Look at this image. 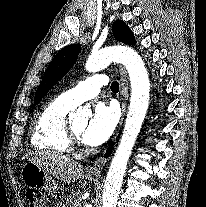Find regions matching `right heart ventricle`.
<instances>
[{
  "instance_id": "e07e8e85",
  "label": "right heart ventricle",
  "mask_w": 206,
  "mask_h": 207,
  "mask_svg": "<svg viewBox=\"0 0 206 207\" xmlns=\"http://www.w3.org/2000/svg\"><path fill=\"white\" fill-rule=\"evenodd\" d=\"M75 107L62 94L47 103L35 119L31 145L35 149L55 153L71 152L66 135V117Z\"/></svg>"
}]
</instances>
